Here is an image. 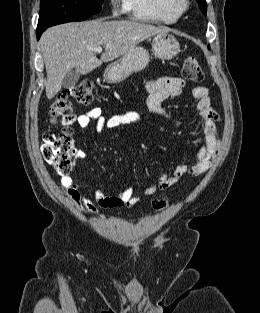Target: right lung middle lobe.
I'll list each match as a JSON object with an SVG mask.
<instances>
[{
    "mask_svg": "<svg viewBox=\"0 0 260 313\" xmlns=\"http://www.w3.org/2000/svg\"><path fill=\"white\" fill-rule=\"evenodd\" d=\"M104 0H41L38 27L83 21L98 13Z\"/></svg>",
    "mask_w": 260,
    "mask_h": 313,
    "instance_id": "dd1d6c3e",
    "label": "right lung middle lobe"
}]
</instances>
